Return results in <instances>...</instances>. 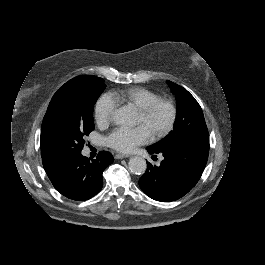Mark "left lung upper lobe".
Here are the masks:
<instances>
[{"mask_svg":"<svg viewBox=\"0 0 265 265\" xmlns=\"http://www.w3.org/2000/svg\"><path fill=\"white\" fill-rule=\"evenodd\" d=\"M167 82L177 102L174 130L161 141L147 147V150L159 153L187 143L209 144L208 129L198 102L183 87Z\"/></svg>","mask_w":265,"mask_h":265,"instance_id":"left-lung-upper-lobe-1","label":"left lung upper lobe"}]
</instances>
